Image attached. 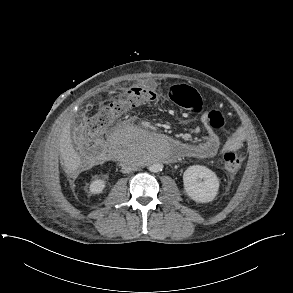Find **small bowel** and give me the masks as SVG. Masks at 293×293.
I'll return each mask as SVG.
<instances>
[{
	"instance_id": "obj_1",
	"label": "small bowel",
	"mask_w": 293,
	"mask_h": 293,
	"mask_svg": "<svg viewBox=\"0 0 293 293\" xmlns=\"http://www.w3.org/2000/svg\"><path fill=\"white\" fill-rule=\"evenodd\" d=\"M202 122L206 127L205 139L197 144H187L188 149L182 152V156L188 158L207 159L218 153L236 151L240 149L245 141V134L242 130L234 131L227 140L221 144L218 135L208 126L206 116H202Z\"/></svg>"
}]
</instances>
